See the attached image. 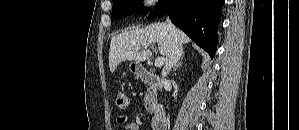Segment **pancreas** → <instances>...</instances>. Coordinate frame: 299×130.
I'll list each match as a JSON object with an SVG mask.
<instances>
[{
	"label": "pancreas",
	"mask_w": 299,
	"mask_h": 130,
	"mask_svg": "<svg viewBox=\"0 0 299 130\" xmlns=\"http://www.w3.org/2000/svg\"><path fill=\"white\" fill-rule=\"evenodd\" d=\"M156 98H155V91L153 90V88L150 86L146 93H145V97H144V105H145V109L152 113L154 112L155 108H156Z\"/></svg>",
	"instance_id": "obj_1"
}]
</instances>
